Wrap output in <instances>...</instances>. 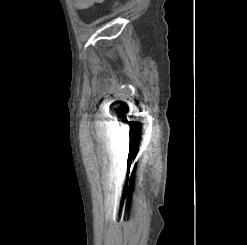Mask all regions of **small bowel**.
I'll list each match as a JSON object with an SVG mask.
<instances>
[{"instance_id": "small-bowel-1", "label": "small bowel", "mask_w": 247, "mask_h": 245, "mask_svg": "<svg viewBox=\"0 0 247 245\" xmlns=\"http://www.w3.org/2000/svg\"><path fill=\"white\" fill-rule=\"evenodd\" d=\"M74 6L79 10H85L93 7L97 3H101L104 0H73Z\"/></svg>"}]
</instances>
